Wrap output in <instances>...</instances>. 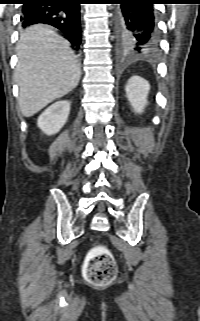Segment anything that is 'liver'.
Wrapping results in <instances>:
<instances>
[{"mask_svg":"<svg viewBox=\"0 0 200 321\" xmlns=\"http://www.w3.org/2000/svg\"><path fill=\"white\" fill-rule=\"evenodd\" d=\"M18 104L31 117L79 83L80 68L70 44L45 25L27 28L17 44Z\"/></svg>","mask_w":200,"mask_h":321,"instance_id":"obj_1","label":"liver"}]
</instances>
